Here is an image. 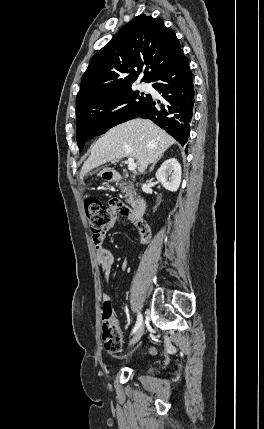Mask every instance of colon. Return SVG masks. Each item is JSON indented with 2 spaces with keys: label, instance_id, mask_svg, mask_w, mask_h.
Returning <instances> with one entry per match:
<instances>
[{
  "label": "colon",
  "instance_id": "colon-1",
  "mask_svg": "<svg viewBox=\"0 0 264 429\" xmlns=\"http://www.w3.org/2000/svg\"><path fill=\"white\" fill-rule=\"evenodd\" d=\"M84 207L89 229L96 239L104 234L114 210H118L123 215L130 213L128 207L120 201H113L110 206H106L96 198H88L85 200ZM102 341L108 352H117L121 348L122 330L113 315L110 301L103 304Z\"/></svg>",
  "mask_w": 264,
  "mask_h": 429
}]
</instances>
